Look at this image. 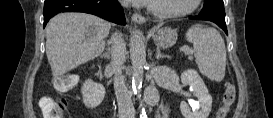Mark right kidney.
<instances>
[{
  "label": "right kidney",
  "mask_w": 273,
  "mask_h": 118,
  "mask_svg": "<svg viewBox=\"0 0 273 118\" xmlns=\"http://www.w3.org/2000/svg\"><path fill=\"white\" fill-rule=\"evenodd\" d=\"M81 93L85 106L95 108L103 101L105 88L102 84L94 83L91 79H88L84 82Z\"/></svg>",
  "instance_id": "1"
}]
</instances>
